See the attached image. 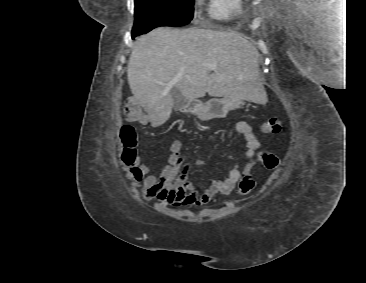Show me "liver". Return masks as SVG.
<instances>
[{
	"instance_id": "liver-1",
	"label": "liver",
	"mask_w": 366,
	"mask_h": 283,
	"mask_svg": "<svg viewBox=\"0 0 366 283\" xmlns=\"http://www.w3.org/2000/svg\"><path fill=\"white\" fill-rule=\"evenodd\" d=\"M258 58L254 44L234 31L160 27L137 38L128 62V83L157 127L171 115L174 87L186 102L208 93L262 103Z\"/></svg>"
}]
</instances>
